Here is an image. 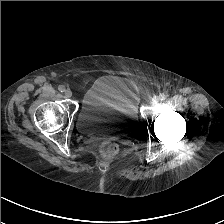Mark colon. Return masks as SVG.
<instances>
[{"instance_id": "colon-1", "label": "colon", "mask_w": 224, "mask_h": 224, "mask_svg": "<svg viewBox=\"0 0 224 224\" xmlns=\"http://www.w3.org/2000/svg\"><path fill=\"white\" fill-rule=\"evenodd\" d=\"M101 151L106 156H113L117 153L118 146L113 142H106L102 144Z\"/></svg>"}]
</instances>
